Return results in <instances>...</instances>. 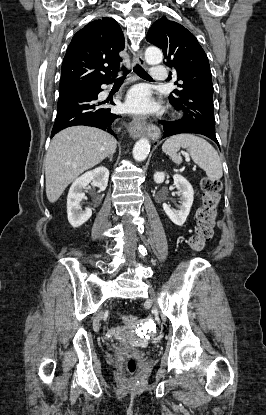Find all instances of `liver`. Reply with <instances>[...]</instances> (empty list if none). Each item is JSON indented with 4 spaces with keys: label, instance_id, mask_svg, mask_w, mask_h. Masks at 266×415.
<instances>
[{
    "label": "liver",
    "instance_id": "6515ba94",
    "mask_svg": "<svg viewBox=\"0 0 266 415\" xmlns=\"http://www.w3.org/2000/svg\"><path fill=\"white\" fill-rule=\"evenodd\" d=\"M116 146L113 136L94 127L74 126L56 134L44 159L49 202H56L81 173L115 153Z\"/></svg>",
    "mask_w": 266,
    "mask_h": 415
}]
</instances>
